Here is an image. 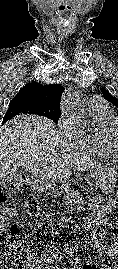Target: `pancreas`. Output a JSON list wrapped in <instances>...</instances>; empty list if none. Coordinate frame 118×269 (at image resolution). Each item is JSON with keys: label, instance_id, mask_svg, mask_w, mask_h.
<instances>
[{"label": "pancreas", "instance_id": "1", "mask_svg": "<svg viewBox=\"0 0 118 269\" xmlns=\"http://www.w3.org/2000/svg\"><path fill=\"white\" fill-rule=\"evenodd\" d=\"M52 183L49 179L42 178L38 182L34 183V189L38 191H46L51 187ZM88 191H91V188H88ZM54 194H57L56 192ZM56 196V195H54ZM67 200H69V196L66 197Z\"/></svg>", "mask_w": 118, "mask_h": 269}]
</instances>
